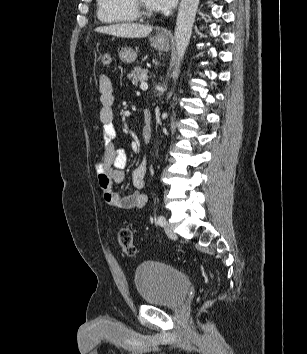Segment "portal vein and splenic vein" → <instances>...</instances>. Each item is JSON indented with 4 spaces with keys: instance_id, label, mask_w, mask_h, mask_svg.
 <instances>
[{
    "instance_id": "18ae733b",
    "label": "portal vein and splenic vein",
    "mask_w": 307,
    "mask_h": 354,
    "mask_svg": "<svg viewBox=\"0 0 307 354\" xmlns=\"http://www.w3.org/2000/svg\"><path fill=\"white\" fill-rule=\"evenodd\" d=\"M140 88L142 90H147L148 89V84L145 81H142L140 84Z\"/></svg>"
}]
</instances>
